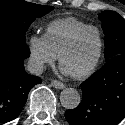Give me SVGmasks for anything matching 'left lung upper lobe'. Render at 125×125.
Segmentation results:
<instances>
[{"mask_svg": "<svg viewBox=\"0 0 125 125\" xmlns=\"http://www.w3.org/2000/svg\"><path fill=\"white\" fill-rule=\"evenodd\" d=\"M99 19L105 34V59L125 54V20L114 11H103Z\"/></svg>", "mask_w": 125, "mask_h": 125, "instance_id": "left-lung-upper-lobe-1", "label": "left lung upper lobe"}]
</instances>
